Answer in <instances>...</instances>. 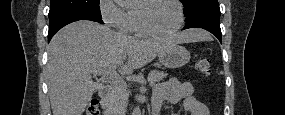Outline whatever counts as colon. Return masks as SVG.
I'll return each mask as SVG.
<instances>
[{
	"label": "colon",
	"instance_id": "colon-1",
	"mask_svg": "<svg viewBox=\"0 0 285 115\" xmlns=\"http://www.w3.org/2000/svg\"><path fill=\"white\" fill-rule=\"evenodd\" d=\"M195 67H196V70L202 75L208 76L211 74V64L209 60L207 59H199L196 62ZM99 113H100L99 102L96 99H92L86 108L85 114L86 115H98Z\"/></svg>",
	"mask_w": 285,
	"mask_h": 115
}]
</instances>
